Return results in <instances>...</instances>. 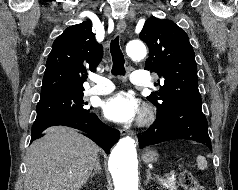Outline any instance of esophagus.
Instances as JSON below:
<instances>
[{
	"label": "esophagus",
	"instance_id": "1",
	"mask_svg": "<svg viewBox=\"0 0 238 190\" xmlns=\"http://www.w3.org/2000/svg\"><path fill=\"white\" fill-rule=\"evenodd\" d=\"M125 28H126V23L124 20H119L118 23H117V26H116V31L118 34H121L125 31ZM120 134L122 136H126V135H132V132L131 131H128V130H120Z\"/></svg>",
	"mask_w": 238,
	"mask_h": 190
}]
</instances>
